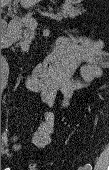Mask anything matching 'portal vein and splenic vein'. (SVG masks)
<instances>
[{
	"label": "portal vein and splenic vein",
	"instance_id": "obj_1",
	"mask_svg": "<svg viewBox=\"0 0 109 170\" xmlns=\"http://www.w3.org/2000/svg\"><path fill=\"white\" fill-rule=\"evenodd\" d=\"M7 1H11V0H7ZM50 17L53 20H56V21L61 20V18L59 16H56V15H50ZM22 21H23V23H25L26 25H28L32 29H35L38 26V22L36 21V19H34L32 17H23Z\"/></svg>",
	"mask_w": 109,
	"mask_h": 170
}]
</instances>
